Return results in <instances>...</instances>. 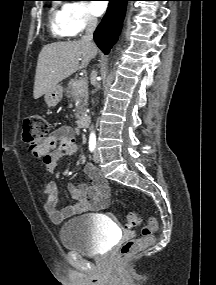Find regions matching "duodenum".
Segmentation results:
<instances>
[{
    "instance_id": "obj_1",
    "label": "duodenum",
    "mask_w": 216,
    "mask_h": 285,
    "mask_svg": "<svg viewBox=\"0 0 216 285\" xmlns=\"http://www.w3.org/2000/svg\"><path fill=\"white\" fill-rule=\"evenodd\" d=\"M78 125L80 128H86L88 127L89 125V119L87 116L85 115H81L79 118H78Z\"/></svg>"
}]
</instances>
